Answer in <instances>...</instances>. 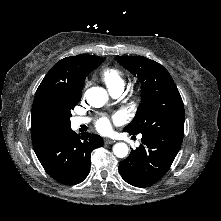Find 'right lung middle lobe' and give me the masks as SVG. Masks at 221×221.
Instances as JSON below:
<instances>
[{
    "mask_svg": "<svg viewBox=\"0 0 221 221\" xmlns=\"http://www.w3.org/2000/svg\"><path fill=\"white\" fill-rule=\"evenodd\" d=\"M105 59H102L98 61L93 69L97 68ZM92 69V70H93ZM80 97L71 98L63 107L61 110L58 118L61 126L65 129L70 128V117H71V110L74 109V107L79 103Z\"/></svg>",
    "mask_w": 221,
    "mask_h": 221,
    "instance_id": "dd1d6c3e",
    "label": "right lung middle lobe"
}]
</instances>
